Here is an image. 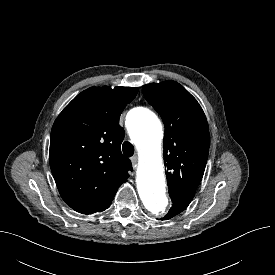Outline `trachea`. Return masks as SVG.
<instances>
[{
    "instance_id": "obj_1",
    "label": "trachea",
    "mask_w": 275,
    "mask_h": 275,
    "mask_svg": "<svg viewBox=\"0 0 275 275\" xmlns=\"http://www.w3.org/2000/svg\"><path fill=\"white\" fill-rule=\"evenodd\" d=\"M122 150H123L124 155H126L127 157H131L134 154V147L128 141H125L123 143Z\"/></svg>"
}]
</instances>
